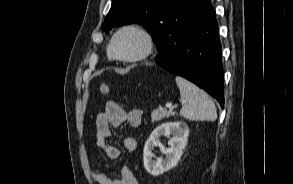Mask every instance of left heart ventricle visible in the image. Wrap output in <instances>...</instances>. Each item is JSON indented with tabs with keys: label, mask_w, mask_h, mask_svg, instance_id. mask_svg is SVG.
<instances>
[{
	"label": "left heart ventricle",
	"mask_w": 293,
	"mask_h": 184,
	"mask_svg": "<svg viewBox=\"0 0 293 184\" xmlns=\"http://www.w3.org/2000/svg\"><path fill=\"white\" fill-rule=\"evenodd\" d=\"M142 37L134 31L121 33L114 42V51L122 57L137 55L143 49Z\"/></svg>",
	"instance_id": "1"
}]
</instances>
